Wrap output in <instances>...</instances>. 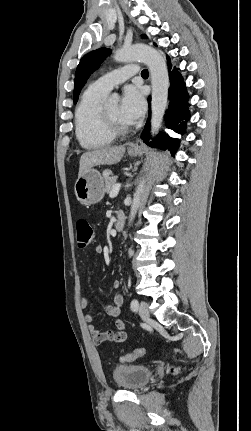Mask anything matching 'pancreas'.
Returning a JSON list of instances; mask_svg holds the SVG:
<instances>
[{"label":"pancreas","instance_id":"obj_1","mask_svg":"<svg viewBox=\"0 0 251 431\" xmlns=\"http://www.w3.org/2000/svg\"><path fill=\"white\" fill-rule=\"evenodd\" d=\"M111 171H106L104 173V180H105V191L107 193H110L111 189L113 188V186L115 185L116 182V177H110Z\"/></svg>","mask_w":251,"mask_h":431}]
</instances>
